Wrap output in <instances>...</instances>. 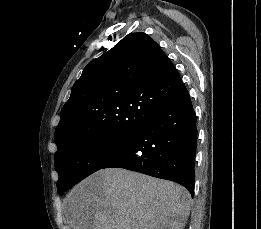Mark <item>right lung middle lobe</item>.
<instances>
[{"label":"right lung middle lobe","instance_id":"dd1d6c3e","mask_svg":"<svg viewBox=\"0 0 261 229\" xmlns=\"http://www.w3.org/2000/svg\"><path fill=\"white\" fill-rule=\"evenodd\" d=\"M134 137L85 135L63 143L54 156L59 174L58 194L63 195L64 191L103 168L126 150Z\"/></svg>","mask_w":261,"mask_h":229}]
</instances>
